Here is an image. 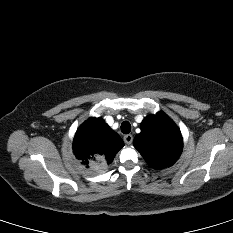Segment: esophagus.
I'll list each match as a JSON object with an SVG mask.
<instances>
[{
	"mask_svg": "<svg viewBox=\"0 0 233 233\" xmlns=\"http://www.w3.org/2000/svg\"><path fill=\"white\" fill-rule=\"evenodd\" d=\"M124 142L128 145L132 144L133 136L131 134H127L124 136Z\"/></svg>",
	"mask_w": 233,
	"mask_h": 233,
	"instance_id": "1",
	"label": "esophagus"
}]
</instances>
